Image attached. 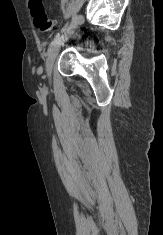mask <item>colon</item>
I'll return each instance as SVG.
<instances>
[{"label":"colon","mask_w":163,"mask_h":235,"mask_svg":"<svg viewBox=\"0 0 163 235\" xmlns=\"http://www.w3.org/2000/svg\"><path fill=\"white\" fill-rule=\"evenodd\" d=\"M29 7L35 27L40 32H47L55 26V21L51 20L43 5V0H29Z\"/></svg>","instance_id":"5ec220e1"}]
</instances>
